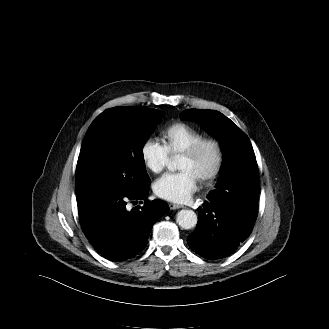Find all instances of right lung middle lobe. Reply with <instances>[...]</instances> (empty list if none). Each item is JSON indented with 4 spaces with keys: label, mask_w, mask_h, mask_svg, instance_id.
<instances>
[{
    "label": "right lung middle lobe",
    "mask_w": 329,
    "mask_h": 329,
    "mask_svg": "<svg viewBox=\"0 0 329 329\" xmlns=\"http://www.w3.org/2000/svg\"><path fill=\"white\" fill-rule=\"evenodd\" d=\"M162 112L146 107H114L101 113L83 140L76 167V194L97 186L136 193L150 184L143 146Z\"/></svg>",
    "instance_id": "right-lung-middle-lobe-1"
}]
</instances>
